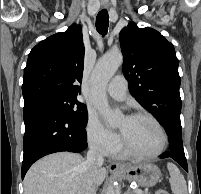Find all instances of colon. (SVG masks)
<instances>
[{"label":"colon","mask_w":201,"mask_h":194,"mask_svg":"<svg viewBox=\"0 0 201 194\" xmlns=\"http://www.w3.org/2000/svg\"><path fill=\"white\" fill-rule=\"evenodd\" d=\"M155 194H169L165 189H158Z\"/></svg>","instance_id":"5ec220e1"}]
</instances>
